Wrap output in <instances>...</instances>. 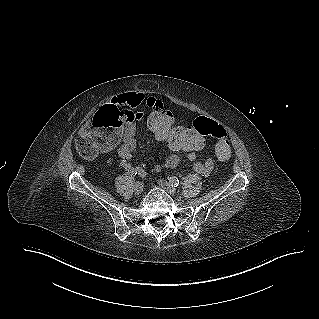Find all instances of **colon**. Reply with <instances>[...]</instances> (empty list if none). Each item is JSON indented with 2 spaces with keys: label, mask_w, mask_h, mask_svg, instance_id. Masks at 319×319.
<instances>
[{
  "label": "colon",
  "mask_w": 319,
  "mask_h": 319,
  "mask_svg": "<svg viewBox=\"0 0 319 319\" xmlns=\"http://www.w3.org/2000/svg\"><path fill=\"white\" fill-rule=\"evenodd\" d=\"M145 120L153 138L169 151L200 153L206 147L205 135H207L216 140L215 153L219 160L227 161L231 156V147L226 139V128L206 116L196 117L192 126L179 128L176 123V115L169 108L167 113H150L148 110ZM197 130L205 135H197ZM75 147L85 159H93L99 153L91 147L87 136L79 137L75 142Z\"/></svg>",
  "instance_id": "5ec220e1"
}]
</instances>
